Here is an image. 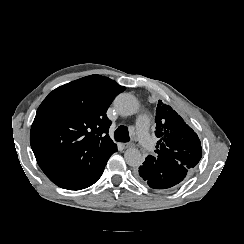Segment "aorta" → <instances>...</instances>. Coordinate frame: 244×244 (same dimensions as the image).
Here are the masks:
<instances>
[{
  "instance_id": "1",
  "label": "aorta",
  "mask_w": 244,
  "mask_h": 244,
  "mask_svg": "<svg viewBox=\"0 0 244 244\" xmlns=\"http://www.w3.org/2000/svg\"><path fill=\"white\" fill-rule=\"evenodd\" d=\"M114 107L120 115L130 116L138 112L139 103L134 96L122 93L115 98ZM124 159L131 167H139L143 163L140 151L134 147H130L125 151Z\"/></svg>"
}]
</instances>
